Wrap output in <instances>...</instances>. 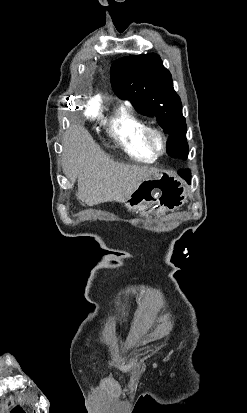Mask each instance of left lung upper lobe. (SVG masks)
Masks as SVG:
<instances>
[{
	"mask_svg": "<svg viewBox=\"0 0 247 413\" xmlns=\"http://www.w3.org/2000/svg\"><path fill=\"white\" fill-rule=\"evenodd\" d=\"M110 76L112 88L120 99L130 100L140 113L155 117L170 134L168 155L186 159L189 150L182 104L160 57L150 53L120 58L112 64Z\"/></svg>",
	"mask_w": 247,
	"mask_h": 413,
	"instance_id": "left-lung-upper-lobe-1",
	"label": "left lung upper lobe"
}]
</instances>
